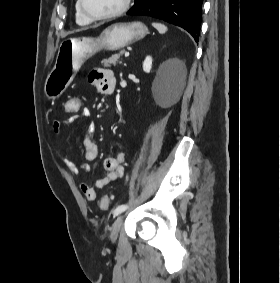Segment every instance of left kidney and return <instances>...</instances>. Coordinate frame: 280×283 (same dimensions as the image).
<instances>
[{
  "label": "left kidney",
  "instance_id": "left-kidney-1",
  "mask_svg": "<svg viewBox=\"0 0 280 283\" xmlns=\"http://www.w3.org/2000/svg\"><path fill=\"white\" fill-rule=\"evenodd\" d=\"M152 68V58L147 56L143 62V70L146 73H149Z\"/></svg>",
  "mask_w": 280,
  "mask_h": 283
}]
</instances>
